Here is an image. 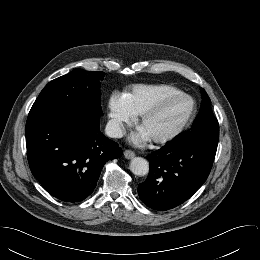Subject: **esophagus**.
<instances>
[{"instance_id": "esophagus-1", "label": "esophagus", "mask_w": 260, "mask_h": 260, "mask_svg": "<svg viewBox=\"0 0 260 260\" xmlns=\"http://www.w3.org/2000/svg\"><path fill=\"white\" fill-rule=\"evenodd\" d=\"M124 156L126 159H132L135 156V153L131 150H125Z\"/></svg>"}]
</instances>
